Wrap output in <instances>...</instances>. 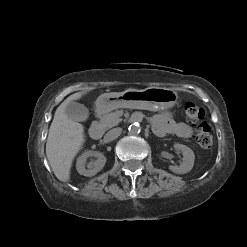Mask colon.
I'll list each match as a JSON object with an SVG mask.
<instances>
[{
    "mask_svg": "<svg viewBox=\"0 0 247 247\" xmlns=\"http://www.w3.org/2000/svg\"><path fill=\"white\" fill-rule=\"evenodd\" d=\"M186 120L195 127L196 140L201 148L208 149L213 144L211 129L207 122L204 121V110L193 102L185 105Z\"/></svg>",
    "mask_w": 247,
    "mask_h": 247,
    "instance_id": "5ec220e1",
    "label": "colon"
}]
</instances>
